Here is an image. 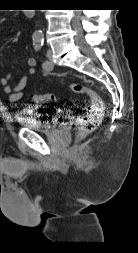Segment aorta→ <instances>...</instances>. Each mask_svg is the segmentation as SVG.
Instances as JSON below:
<instances>
[{"label":"aorta","instance_id":"obj_1","mask_svg":"<svg viewBox=\"0 0 138 253\" xmlns=\"http://www.w3.org/2000/svg\"><path fill=\"white\" fill-rule=\"evenodd\" d=\"M33 37L34 38H39V39H42L43 38V33L41 30H37L33 33Z\"/></svg>","mask_w":138,"mask_h":253}]
</instances>
